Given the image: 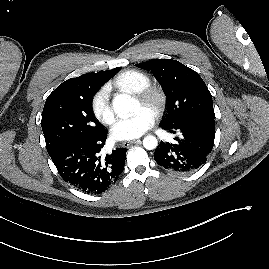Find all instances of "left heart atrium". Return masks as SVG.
Wrapping results in <instances>:
<instances>
[{"mask_svg": "<svg viewBox=\"0 0 269 269\" xmlns=\"http://www.w3.org/2000/svg\"><path fill=\"white\" fill-rule=\"evenodd\" d=\"M154 122V113L143 106L133 116L118 120L112 129V135L117 140H132L143 135Z\"/></svg>", "mask_w": 269, "mask_h": 269, "instance_id": "1", "label": "left heart atrium"}]
</instances>
